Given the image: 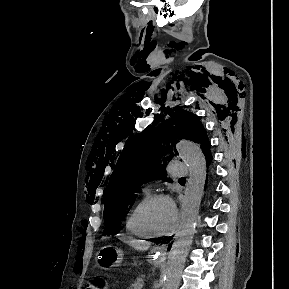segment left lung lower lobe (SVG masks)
I'll return each instance as SVG.
<instances>
[{"instance_id": "left-lung-lower-lobe-1", "label": "left lung lower lobe", "mask_w": 289, "mask_h": 289, "mask_svg": "<svg viewBox=\"0 0 289 289\" xmlns=\"http://www.w3.org/2000/svg\"><path fill=\"white\" fill-rule=\"evenodd\" d=\"M205 158H206L207 172H208V167L211 164V161L213 158H212V155L210 152H208V154L205 156ZM206 187H207V179H206V183H205V189H206Z\"/></svg>"}]
</instances>
